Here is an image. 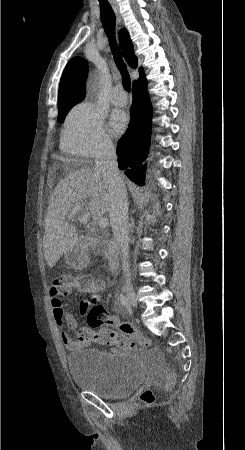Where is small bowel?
<instances>
[{
	"label": "small bowel",
	"mask_w": 245,
	"mask_h": 450,
	"mask_svg": "<svg viewBox=\"0 0 245 450\" xmlns=\"http://www.w3.org/2000/svg\"><path fill=\"white\" fill-rule=\"evenodd\" d=\"M90 282L93 285V290L89 292L90 298H87L82 302V308H86L91 303L92 300L99 299L100 298L99 294H100L101 290H103L104 287L106 286L105 282L96 281L93 279L90 280ZM67 290L68 291H70V290L83 291V290H80L77 288L67 289ZM58 293L67 295V293L59 292L55 288H51L49 290L50 306L52 309V313H53L55 322H56L57 326L60 328V338H61L62 342L64 343L66 348L71 351L81 350V349H85V348L89 347L92 343H94L96 341H84V340L80 339L79 336H78V338H74L70 334L69 329L75 328L76 322H75L73 315L63 306V304L57 297ZM64 326H67V328H64ZM113 328L118 329L117 326H114ZM110 350L112 352H117V350L114 348H111Z\"/></svg>",
	"instance_id": "1"
}]
</instances>
